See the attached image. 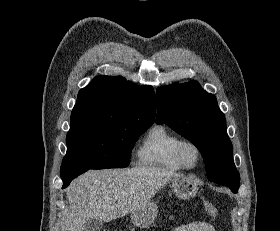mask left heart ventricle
Listing matches in <instances>:
<instances>
[{
	"label": "left heart ventricle",
	"mask_w": 280,
	"mask_h": 231,
	"mask_svg": "<svg viewBox=\"0 0 280 231\" xmlns=\"http://www.w3.org/2000/svg\"><path fill=\"white\" fill-rule=\"evenodd\" d=\"M182 159L188 168L193 169L199 163L198 151L193 145L187 144L182 149Z\"/></svg>",
	"instance_id": "obj_1"
}]
</instances>
